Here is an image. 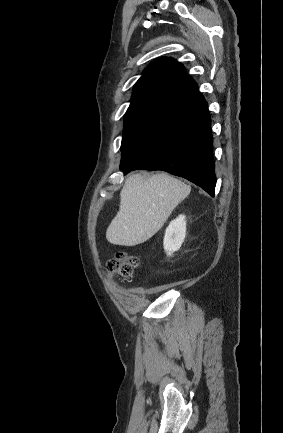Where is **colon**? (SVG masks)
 <instances>
[{"label":"colon","mask_w":283,"mask_h":433,"mask_svg":"<svg viewBox=\"0 0 283 433\" xmlns=\"http://www.w3.org/2000/svg\"><path fill=\"white\" fill-rule=\"evenodd\" d=\"M137 265V258L125 253H118L116 257L108 263V268L112 274L127 278L132 275Z\"/></svg>","instance_id":"obj_1"}]
</instances>
